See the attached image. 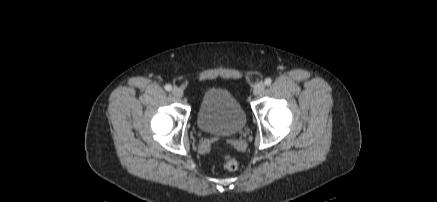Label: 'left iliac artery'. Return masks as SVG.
<instances>
[{
	"instance_id": "left-iliac-artery-1",
	"label": "left iliac artery",
	"mask_w": 437,
	"mask_h": 202,
	"mask_svg": "<svg viewBox=\"0 0 437 202\" xmlns=\"http://www.w3.org/2000/svg\"><path fill=\"white\" fill-rule=\"evenodd\" d=\"M272 83V79L271 78H266L265 79V84L268 86Z\"/></svg>"
}]
</instances>
